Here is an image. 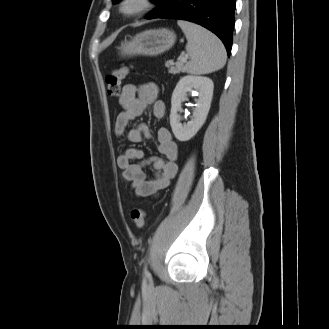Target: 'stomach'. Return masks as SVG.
Returning <instances> with one entry per match:
<instances>
[{
    "mask_svg": "<svg viewBox=\"0 0 329 329\" xmlns=\"http://www.w3.org/2000/svg\"><path fill=\"white\" fill-rule=\"evenodd\" d=\"M176 41V35L169 29L147 30L135 35L118 48L121 56H156L169 50Z\"/></svg>",
    "mask_w": 329,
    "mask_h": 329,
    "instance_id": "obj_1",
    "label": "stomach"
}]
</instances>
